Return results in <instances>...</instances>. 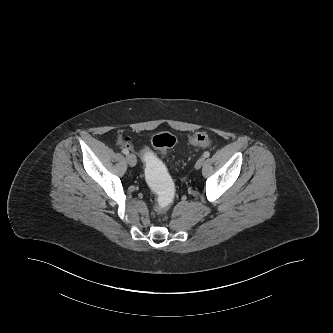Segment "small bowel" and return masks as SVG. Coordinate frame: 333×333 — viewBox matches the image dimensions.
Returning a JSON list of instances; mask_svg holds the SVG:
<instances>
[{"label": "small bowel", "instance_id": "1", "mask_svg": "<svg viewBox=\"0 0 333 333\" xmlns=\"http://www.w3.org/2000/svg\"><path fill=\"white\" fill-rule=\"evenodd\" d=\"M112 143L117 151L125 153L133 148L135 140L130 132L122 130L114 135Z\"/></svg>", "mask_w": 333, "mask_h": 333}]
</instances>
